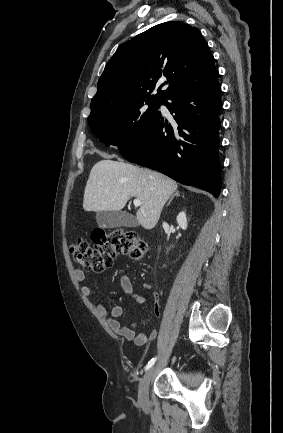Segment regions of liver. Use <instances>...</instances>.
<instances>
[{
	"mask_svg": "<svg viewBox=\"0 0 283 433\" xmlns=\"http://www.w3.org/2000/svg\"><path fill=\"white\" fill-rule=\"evenodd\" d=\"M178 188L165 174L129 162L99 160L92 166L83 198L84 210H121L130 196L141 200L136 221L144 229L156 227L162 208Z\"/></svg>",
	"mask_w": 283,
	"mask_h": 433,
	"instance_id": "obj_1",
	"label": "liver"
}]
</instances>
